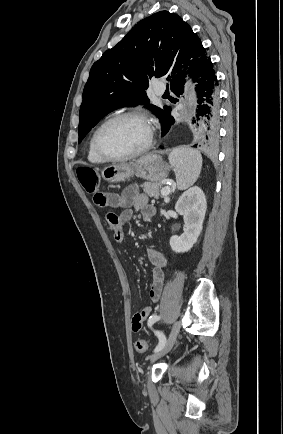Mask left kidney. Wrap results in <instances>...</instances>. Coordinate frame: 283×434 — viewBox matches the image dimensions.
<instances>
[{
	"instance_id": "left-kidney-1",
	"label": "left kidney",
	"mask_w": 283,
	"mask_h": 434,
	"mask_svg": "<svg viewBox=\"0 0 283 434\" xmlns=\"http://www.w3.org/2000/svg\"><path fill=\"white\" fill-rule=\"evenodd\" d=\"M207 202L205 195L198 186L184 192L178 199L175 210L183 215L184 232L170 238V247L176 253L188 252L202 231Z\"/></svg>"
}]
</instances>
